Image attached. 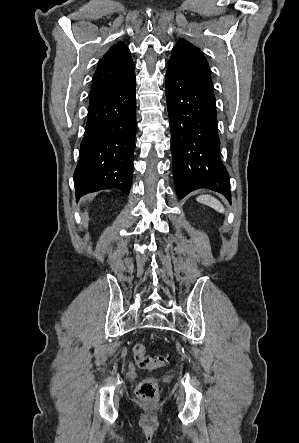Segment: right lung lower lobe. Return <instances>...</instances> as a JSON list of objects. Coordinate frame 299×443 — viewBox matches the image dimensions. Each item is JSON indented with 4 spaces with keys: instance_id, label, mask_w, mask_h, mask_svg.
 <instances>
[{
    "instance_id": "1",
    "label": "right lung lower lobe",
    "mask_w": 299,
    "mask_h": 443,
    "mask_svg": "<svg viewBox=\"0 0 299 443\" xmlns=\"http://www.w3.org/2000/svg\"><path fill=\"white\" fill-rule=\"evenodd\" d=\"M135 75L90 102L74 172L76 198L102 189L129 193L136 128Z\"/></svg>"
}]
</instances>
